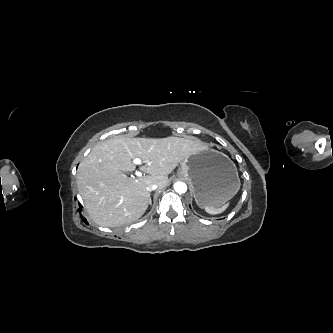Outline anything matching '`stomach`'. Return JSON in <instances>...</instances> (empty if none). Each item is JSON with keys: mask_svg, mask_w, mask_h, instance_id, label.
Here are the masks:
<instances>
[{"mask_svg": "<svg viewBox=\"0 0 333 333\" xmlns=\"http://www.w3.org/2000/svg\"><path fill=\"white\" fill-rule=\"evenodd\" d=\"M178 176L191 184L194 199L201 208H219L238 192V171L233 161L215 149L198 151L180 163Z\"/></svg>", "mask_w": 333, "mask_h": 333, "instance_id": "0dacf381", "label": "stomach"}]
</instances>
